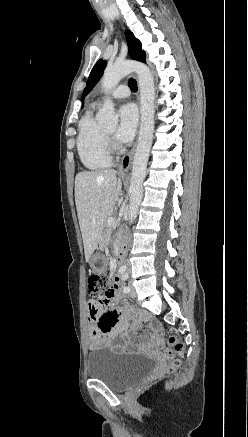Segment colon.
Instances as JSON below:
<instances>
[{
    "label": "colon",
    "instance_id": "obj_1",
    "mask_svg": "<svg viewBox=\"0 0 248 437\" xmlns=\"http://www.w3.org/2000/svg\"><path fill=\"white\" fill-rule=\"evenodd\" d=\"M110 279L105 275L93 274L88 280L90 296L100 299L110 290ZM168 346L164 349L163 355L168 362L167 372L174 373L180 367L181 361L178 358L184 351L183 343L175 336L167 337Z\"/></svg>",
    "mask_w": 248,
    "mask_h": 437
}]
</instances>
